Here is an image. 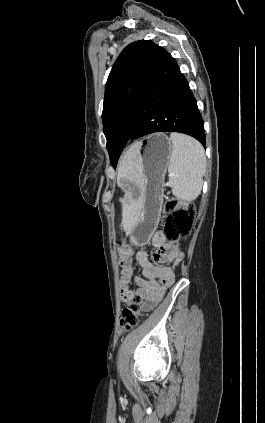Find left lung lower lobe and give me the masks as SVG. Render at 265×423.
Masks as SVG:
<instances>
[{
	"label": "left lung lower lobe",
	"instance_id": "left-lung-lower-lobe-1",
	"mask_svg": "<svg viewBox=\"0 0 265 423\" xmlns=\"http://www.w3.org/2000/svg\"><path fill=\"white\" fill-rule=\"evenodd\" d=\"M154 132H180L205 147L204 122L175 59L162 47L138 97L128 140Z\"/></svg>",
	"mask_w": 265,
	"mask_h": 423
}]
</instances>
